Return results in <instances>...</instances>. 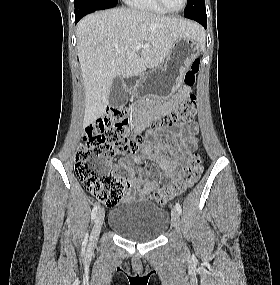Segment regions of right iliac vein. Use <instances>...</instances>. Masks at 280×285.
<instances>
[{
  "label": "right iliac vein",
  "mask_w": 280,
  "mask_h": 285,
  "mask_svg": "<svg viewBox=\"0 0 280 285\" xmlns=\"http://www.w3.org/2000/svg\"><path fill=\"white\" fill-rule=\"evenodd\" d=\"M104 210L100 209L96 215L94 226L90 236V245L94 246L96 243L104 221Z\"/></svg>",
  "instance_id": "63e3f726"
}]
</instances>
